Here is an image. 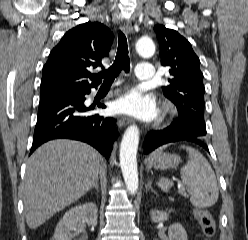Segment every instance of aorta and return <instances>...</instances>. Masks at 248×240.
I'll use <instances>...</instances> for the list:
<instances>
[{
    "mask_svg": "<svg viewBox=\"0 0 248 240\" xmlns=\"http://www.w3.org/2000/svg\"><path fill=\"white\" fill-rule=\"evenodd\" d=\"M137 53L145 58L155 53V45L150 38H141L136 43ZM139 129L136 125L129 126L120 145V166L126 187L131 195L138 190L137 149L139 144Z\"/></svg>",
    "mask_w": 248,
    "mask_h": 240,
    "instance_id": "obj_1",
    "label": "aorta"
}]
</instances>
